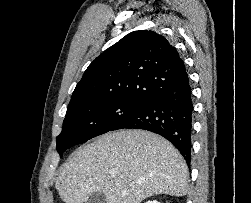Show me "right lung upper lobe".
Wrapping results in <instances>:
<instances>
[{
	"instance_id": "obj_1",
	"label": "right lung upper lobe",
	"mask_w": 251,
	"mask_h": 203,
	"mask_svg": "<svg viewBox=\"0 0 251 203\" xmlns=\"http://www.w3.org/2000/svg\"><path fill=\"white\" fill-rule=\"evenodd\" d=\"M186 76L184 62L162 35L138 30L88 66L69 105L101 100L145 103Z\"/></svg>"
}]
</instances>
